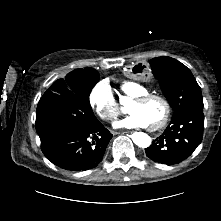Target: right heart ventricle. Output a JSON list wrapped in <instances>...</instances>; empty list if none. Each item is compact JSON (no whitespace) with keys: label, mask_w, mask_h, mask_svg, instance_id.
<instances>
[{"label":"right heart ventricle","mask_w":221,"mask_h":221,"mask_svg":"<svg viewBox=\"0 0 221 221\" xmlns=\"http://www.w3.org/2000/svg\"><path fill=\"white\" fill-rule=\"evenodd\" d=\"M120 91L123 97L134 99L136 97L150 93V91L142 84L128 80L120 84Z\"/></svg>","instance_id":"right-heart-ventricle-1"}]
</instances>
